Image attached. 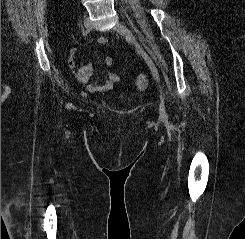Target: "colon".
<instances>
[{
    "instance_id": "1",
    "label": "colon",
    "mask_w": 245,
    "mask_h": 239,
    "mask_svg": "<svg viewBox=\"0 0 245 239\" xmlns=\"http://www.w3.org/2000/svg\"><path fill=\"white\" fill-rule=\"evenodd\" d=\"M150 83V78L146 74H140L137 76L135 84L139 90H145Z\"/></svg>"
}]
</instances>
